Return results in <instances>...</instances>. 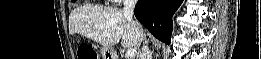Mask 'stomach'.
Masks as SVG:
<instances>
[{"label":"stomach","mask_w":261,"mask_h":59,"mask_svg":"<svg viewBox=\"0 0 261 59\" xmlns=\"http://www.w3.org/2000/svg\"><path fill=\"white\" fill-rule=\"evenodd\" d=\"M100 54L102 56V59H115L109 48H101Z\"/></svg>","instance_id":"1"}]
</instances>
